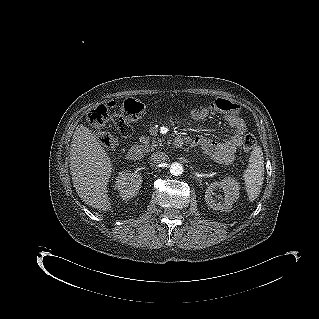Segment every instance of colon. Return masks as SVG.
I'll return each mask as SVG.
<instances>
[{
    "mask_svg": "<svg viewBox=\"0 0 319 319\" xmlns=\"http://www.w3.org/2000/svg\"><path fill=\"white\" fill-rule=\"evenodd\" d=\"M212 107L223 112H235L239 108L236 103L223 98L216 99ZM144 111L145 105L135 99H127L121 105H118L115 101H110L90 109L86 118L88 123L98 130H101L109 119H112L120 133L128 135L130 133L128 120L141 116ZM99 136L108 149H114L118 145V138L111 133L100 132ZM254 143L253 136L245 135L242 139L243 151H249Z\"/></svg>",
    "mask_w": 319,
    "mask_h": 319,
    "instance_id": "obj_1",
    "label": "colon"
}]
</instances>
